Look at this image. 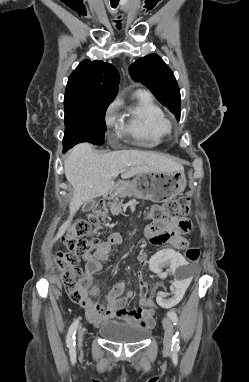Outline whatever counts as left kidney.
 <instances>
[{"label":"left kidney","mask_w":249,"mask_h":382,"mask_svg":"<svg viewBox=\"0 0 249 382\" xmlns=\"http://www.w3.org/2000/svg\"><path fill=\"white\" fill-rule=\"evenodd\" d=\"M188 262L180 254L179 250H159L150 260H141V267H150V271L157 273L162 281H168L167 291L160 289L155 292L154 301L157 307H175L178 302H182L184 293L193 283L196 276L195 270H182ZM173 281V282H171ZM171 282V283H170Z\"/></svg>","instance_id":"left-kidney-1"}]
</instances>
